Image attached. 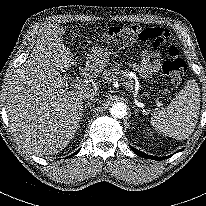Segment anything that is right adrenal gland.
I'll return each instance as SVG.
<instances>
[{
  "mask_svg": "<svg viewBox=\"0 0 206 206\" xmlns=\"http://www.w3.org/2000/svg\"><path fill=\"white\" fill-rule=\"evenodd\" d=\"M92 108H93V103H92V101L87 102V103L84 105L83 112H86L87 109L92 110Z\"/></svg>",
  "mask_w": 206,
  "mask_h": 206,
  "instance_id": "right-adrenal-gland-1",
  "label": "right adrenal gland"
}]
</instances>
